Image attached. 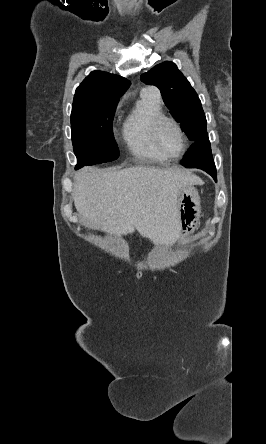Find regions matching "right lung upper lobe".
<instances>
[{
	"label": "right lung upper lobe",
	"mask_w": 266,
	"mask_h": 444,
	"mask_svg": "<svg viewBox=\"0 0 266 444\" xmlns=\"http://www.w3.org/2000/svg\"><path fill=\"white\" fill-rule=\"evenodd\" d=\"M129 85L130 82L121 76L93 71L77 87L73 107L87 105L99 100L119 99Z\"/></svg>",
	"instance_id": "cb5924a9"
}]
</instances>
